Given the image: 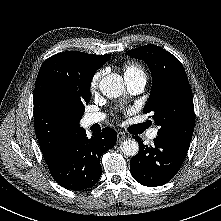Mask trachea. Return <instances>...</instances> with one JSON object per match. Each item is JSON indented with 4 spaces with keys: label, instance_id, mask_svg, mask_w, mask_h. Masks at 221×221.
I'll return each instance as SVG.
<instances>
[{
    "label": "trachea",
    "instance_id": "1",
    "mask_svg": "<svg viewBox=\"0 0 221 221\" xmlns=\"http://www.w3.org/2000/svg\"><path fill=\"white\" fill-rule=\"evenodd\" d=\"M148 127V124L147 123H144L141 125V130H145L146 128Z\"/></svg>",
    "mask_w": 221,
    "mask_h": 221
}]
</instances>
